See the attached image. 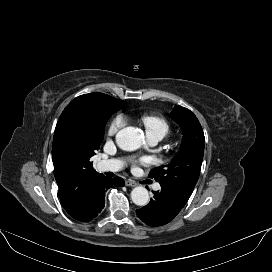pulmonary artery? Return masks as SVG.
<instances>
[{"mask_svg": "<svg viewBox=\"0 0 272 272\" xmlns=\"http://www.w3.org/2000/svg\"><path fill=\"white\" fill-rule=\"evenodd\" d=\"M163 138V135L161 134H148V144L150 146L156 145L161 139ZM124 166V162L120 159H107V160H101L98 164V167L101 171H111L116 172L120 170ZM155 190L160 189V185L156 184L154 186Z\"/></svg>", "mask_w": 272, "mask_h": 272, "instance_id": "e3ab8cb5", "label": "pulmonary artery"}]
</instances>
